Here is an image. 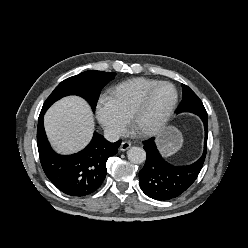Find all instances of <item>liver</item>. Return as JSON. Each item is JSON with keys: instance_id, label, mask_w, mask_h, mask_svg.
I'll list each match as a JSON object with an SVG mask.
<instances>
[{"instance_id": "obj_1", "label": "liver", "mask_w": 248, "mask_h": 248, "mask_svg": "<svg viewBox=\"0 0 248 248\" xmlns=\"http://www.w3.org/2000/svg\"><path fill=\"white\" fill-rule=\"evenodd\" d=\"M44 126L54 149L62 154H70L83 149L90 142L94 118L84 99L68 96L48 109Z\"/></svg>"}]
</instances>
